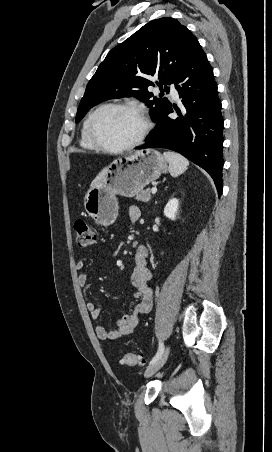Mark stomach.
Masks as SVG:
<instances>
[{"label": "stomach", "mask_w": 272, "mask_h": 452, "mask_svg": "<svg viewBox=\"0 0 272 452\" xmlns=\"http://www.w3.org/2000/svg\"><path fill=\"white\" fill-rule=\"evenodd\" d=\"M167 170V163L154 149L135 151L115 159L102 179L84 197L87 214L99 225H112L118 217L116 195L133 197Z\"/></svg>", "instance_id": "stomach-1"}]
</instances>
